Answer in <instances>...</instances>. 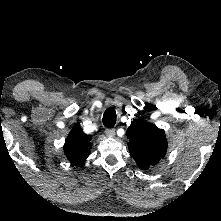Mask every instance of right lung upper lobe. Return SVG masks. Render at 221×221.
<instances>
[{"instance_id": "obj_1", "label": "right lung upper lobe", "mask_w": 221, "mask_h": 221, "mask_svg": "<svg viewBox=\"0 0 221 221\" xmlns=\"http://www.w3.org/2000/svg\"><path fill=\"white\" fill-rule=\"evenodd\" d=\"M91 139L92 137L86 135L80 127H74L63 147L67 158L75 164L84 161L90 154Z\"/></svg>"}]
</instances>
